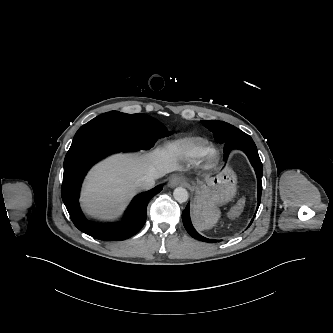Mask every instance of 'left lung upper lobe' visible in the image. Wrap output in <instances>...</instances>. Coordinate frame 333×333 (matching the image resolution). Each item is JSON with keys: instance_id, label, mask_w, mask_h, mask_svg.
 Here are the masks:
<instances>
[{"instance_id": "left-lung-upper-lobe-1", "label": "left lung upper lobe", "mask_w": 333, "mask_h": 333, "mask_svg": "<svg viewBox=\"0 0 333 333\" xmlns=\"http://www.w3.org/2000/svg\"><path fill=\"white\" fill-rule=\"evenodd\" d=\"M205 127L214 133V138L218 143L225 144L239 129L229 123L217 120L201 121Z\"/></svg>"}]
</instances>
